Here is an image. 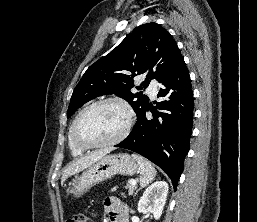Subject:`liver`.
<instances>
[{"label":"liver","instance_id":"1","mask_svg":"<svg viewBox=\"0 0 257 222\" xmlns=\"http://www.w3.org/2000/svg\"><path fill=\"white\" fill-rule=\"evenodd\" d=\"M113 149L107 148L98 150L90 155H87L85 157H82L80 159H77L70 163L66 169L63 172L62 178H61V184H63L68 177L71 175H74L76 173H79L80 171H83L84 169H87L92 164H94L96 161L104 157L106 154L110 153Z\"/></svg>","mask_w":257,"mask_h":222}]
</instances>
